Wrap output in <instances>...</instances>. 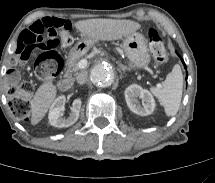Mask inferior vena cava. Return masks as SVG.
<instances>
[{
	"label": "inferior vena cava",
	"instance_id": "obj_1",
	"mask_svg": "<svg viewBox=\"0 0 215 183\" xmlns=\"http://www.w3.org/2000/svg\"><path fill=\"white\" fill-rule=\"evenodd\" d=\"M77 83L82 85L85 84L87 81V72H81L78 74V76L76 77Z\"/></svg>",
	"mask_w": 215,
	"mask_h": 183
}]
</instances>
